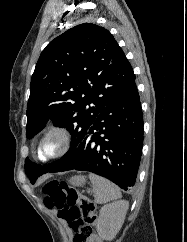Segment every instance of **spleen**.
<instances>
[{"label": "spleen", "mask_w": 187, "mask_h": 242, "mask_svg": "<svg viewBox=\"0 0 187 242\" xmlns=\"http://www.w3.org/2000/svg\"><path fill=\"white\" fill-rule=\"evenodd\" d=\"M89 179L93 185L96 203L104 204L121 197L120 189L111 181L92 173L89 174Z\"/></svg>", "instance_id": "spleen-1"}]
</instances>
